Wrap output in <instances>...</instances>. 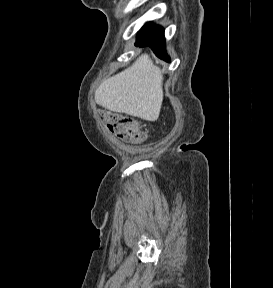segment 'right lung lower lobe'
<instances>
[{
	"label": "right lung lower lobe",
	"instance_id": "right-lung-lower-lobe-1",
	"mask_svg": "<svg viewBox=\"0 0 273 288\" xmlns=\"http://www.w3.org/2000/svg\"><path fill=\"white\" fill-rule=\"evenodd\" d=\"M136 46H149L159 58L170 61L165 52L164 29L160 26L146 23L139 31Z\"/></svg>",
	"mask_w": 273,
	"mask_h": 288
}]
</instances>
